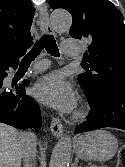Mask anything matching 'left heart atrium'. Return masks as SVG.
Returning <instances> with one entry per match:
<instances>
[{"label": "left heart atrium", "mask_w": 125, "mask_h": 167, "mask_svg": "<svg viewBox=\"0 0 125 167\" xmlns=\"http://www.w3.org/2000/svg\"><path fill=\"white\" fill-rule=\"evenodd\" d=\"M32 92L39 101L62 112H70L76 105L72 85L58 72H52L39 79Z\"/></svg>", "instance_id": "39dd6f15"}]
</instances>
